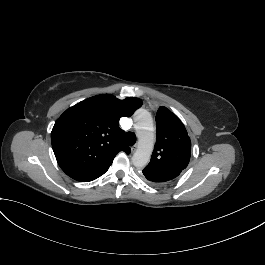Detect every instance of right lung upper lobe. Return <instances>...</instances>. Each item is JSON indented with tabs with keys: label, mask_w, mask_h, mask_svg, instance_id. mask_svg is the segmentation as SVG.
<instances>
[{
	"label": "right lung upper lobe",
	"mask_w": 265,
	"mask_h": 265,
	"mask_svg": "<svg viewBox=\"0 0 265 265\" xmlns=\"http://www.w3.org/2000/svg\"><path fill=\"white\" fill-rule=\"evenodd\" d=\"M141 106L139 98L120 100L102 94L67 109L51 132L53 151L61 169L80 182L103 175L120 151L130 153V148L123 144L124 131L118 122Z\"/></svg>",
	"instance_id": "1"
}]
</instances>
